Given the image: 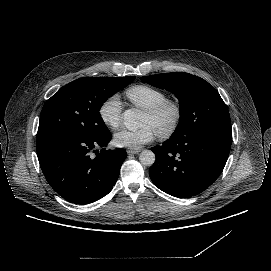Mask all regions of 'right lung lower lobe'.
<instances>
[{
	"label": "right lung lower lobe",
	"instance_id": "obj_1",
	"mask_svg": "<svg viewBox=\"0 0 271 271\" xmlns=\"http://www.w3.org/2000/svg\"><path fill=\"white\" fill-rule=\"evenodd\" d=\"M110 140L109 130L96 137L70 132L38 135L37 155L46 180L72 203L87 204L104 197L115 185L126 158L123 148L94 150Z\"/></svg>",
	"mask_w": 271,
	"mask_h": 271
}]
</instances>
